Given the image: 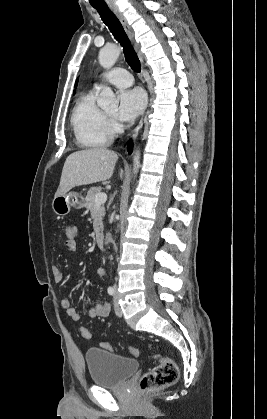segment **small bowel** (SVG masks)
<instances>
[{
  "instance_id": "1",
  "label": "small bowel",
  "mask_w": 267,
  "mask_h": 419,
  "mask_svg": "<svg viewBox=\"0 0 267 419\" xmlns=\"http://www.w3.org/2000/svg\"><path fill=\"white\" fill-rule=\"evenodd\" d=\"M66 249L73 253L77 250V245L70 246L66 244ZM99 275H104V270L99 268L97 270ZM51 273L55 282L59 283L63 280L64 275L59 266L53 265L51 267ZM62 307L65 309L68 316H70L74 321H79L81 319V313L72 305L71 301L68 298H65L61 302ZM110 313V306L108 303H98L90 307L87 311V316L91 319L107 317Z\"/></svg>"
}]
</instances>
